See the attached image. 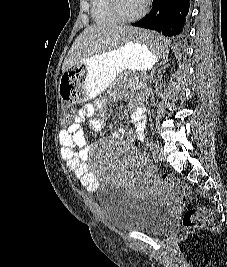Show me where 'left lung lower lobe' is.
I'll return each instance as SVG.
<instances>
[{
	"mask_svg": "<svg viewBox=\"0 0 227 267\" xmlns=\"http://www.w3.org/2000/svg\"><path fill=\"white\" fill-rule=\"evenodd\" d=\"M188 11L189 0H153L148 15L132 25L156 30L165 37H173L182 32Z\"/></svg>",
	"mask_w": 227,
	"mask_h": 267,
	"instance_id": "0a47b994",
	"label": "left lung lower lobe"
}]
</instances>
